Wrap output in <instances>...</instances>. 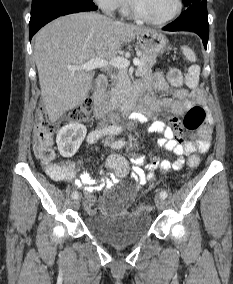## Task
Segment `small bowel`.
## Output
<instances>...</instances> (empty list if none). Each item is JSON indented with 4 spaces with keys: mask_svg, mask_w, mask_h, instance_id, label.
<instances>
[{
    "mask_svg": "<svg viewBox=\"0 0 233 284\" xmlns=\"http://www.w3.org/2000/svg\"><path fill=\"white\" fill-rule=\"evenodd\" d=\"M143 89L146 91L144 100L131 114L130 119L134 122H150V131L162 135L159 145L163 149L173 152L177 159L160 161L155 156L150 158L133 156L129 166V174L138 185H144L150 181L153 178V170L158 166L161 167L163 172L169 169L180 170L184 165L185 156H191L196 152H207L210 148L212 134V119L208 117L206 123L197 130L195 136L191 140H185L184 126L179 119V116L191 107L205 103V97L201 91L181 88L175 90L172 97L157 98L153 93L155 90L166 91L168 89V84L161 73L148 76L143 82ZM163 110L172 114L169 118V124L152 120L154 112ZM148 159L150 160L148 161ZM144 164L145 170L141 167ZM45 172L52 180L57 182L73 181L75 186L82 188L87 194L109 188L118 181L115 176L95 180L85 170H82L79 177L76 178L77 166L70 161L48 164L45 167ZM86 208L90 213L95 211L94 202L91 198L87 199Z\"/></svg>",
    "mask_w": 233,
    "mask_h": 284,
    "instance_id": "obj_1",
    "label": "small bowel"
}]
</instances>
